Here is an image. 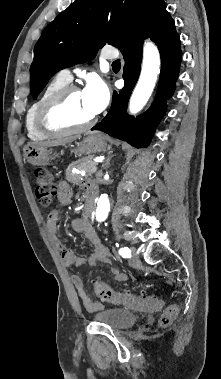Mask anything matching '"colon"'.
Instances as JSON below:
<instances>
[{"label": "colon", "instance_id": "5ec220e1", "mask_svg": "<svg viewBox=\"0 0 221 379\" xmlns=\"http://www.w3.org/2000/svg\"><path fill=\"white\" fill-rule=\"evenodd\" d=\"M36 197L43 208H48L57 195V186L52 173L43 167L35 169ZM96 296L103 302L122 304L139 311H158L163 307V300L157 296L142 293L132 295L115 291L107 283L96 279L93 281ZM178 314V307L170 305L165 308L160 316L161 327H169Z\"/></svg>", "mask_w": 221, "mask_h": 379}]
</instances>
